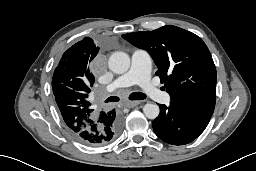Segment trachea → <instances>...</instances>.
I'll return each mask as SVG.
<instances>
[{
    "label": "trachea",
    "instance_id": "obj_1",
    "mask_svg": "<svg viewBox=\"0 0 256 171\" xmlns=\"http://www.w3.org/2000/svg\"><path fill=\"white\" fill-rule=\"evenodd\" d=\"M146 98V95L141 92H134L129 95L130 100H143ZM119 98L117 96L109 97L105 102H118Z\"/></svg>",
    "mask_w": 256,
    "mask_h": 171
}]
</instances>
